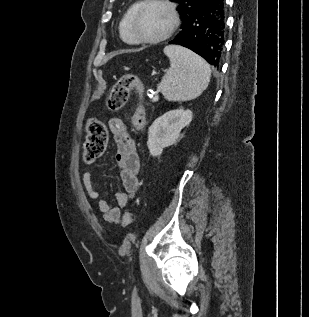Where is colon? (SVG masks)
<instances>
[{"label": "colon", "instance_id": "obj_1", "mask_svg": "<svg viewBox=\"0 0 309 317\" xmlns=\"http://www.w3.org/2000/svg\"><path fill=\"white\" fill-rule=\"evenodd\" d=\"M142 94L143 84L135 74L123 75L112 87L109 94L107 105L111 110L122 108L128 101L131 91ZM145 121V111L143 105H139L134 115V124L137 128H142ZM86 140L84 143V159L91 163L101 157L106 149L108 132L105 124L97 119H91L87 124ZM125 226H130L132 216L126 212L123 216Z\"/></svg>", "mask_w": 309, "mask_h": 317}]
</instances>
